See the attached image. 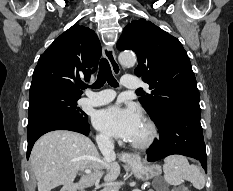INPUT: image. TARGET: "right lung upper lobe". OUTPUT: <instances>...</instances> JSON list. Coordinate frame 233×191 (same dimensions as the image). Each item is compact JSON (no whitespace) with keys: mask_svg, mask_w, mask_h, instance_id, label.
<instances>
[{"mask_svg":"<svg viewBox=\"0 0 233 191\" xmlns=\"http://www.w3.org/2000/svg\"><path fill=\"white\" fill-rule=\"evenodd\" d=\"M101 52L93 30L73 25L40 56L33 72L29 98L47 92L80 98L79 83L82 79L89 80L96 71Z\"/></svg>","mask_w":233,"mask_h":191,"instance_id":"1","label":"right lung upper lobe"}]
</instances>
